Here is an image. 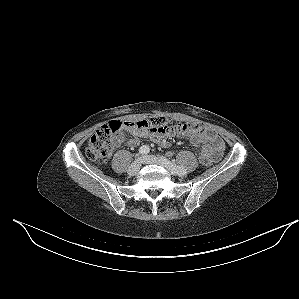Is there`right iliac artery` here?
<instances>
[{"label":"right iliac artery","mask_w":299,"mask_h":299,"mask_svg":"<svg viewBox=\"0 0 299 299\" xmlns=\"http://www.w3.org/2000/svg\"><path fill=\"white\" fill-rule=\"evenodd\" d=\"M149 151H150V148L147 145H143L139 148V154H141V155L148 154Z\"/></svg>","instance_id":"1"}]
</instances>
